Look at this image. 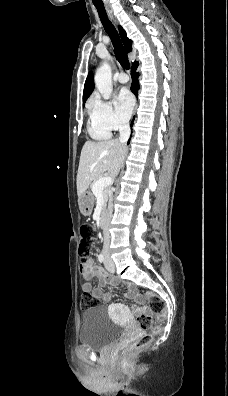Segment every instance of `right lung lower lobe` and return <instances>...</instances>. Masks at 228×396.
I'll return each mask as SVG.
<instances>
[{
  "label": "right lung lower lobe",
  "mask_w": 228,
  "mask_h": 396,
  "mask_svg": "<svg viewBox=\"0 0 228 396\" xmlns=\"http://www.w3.org/2000/svg\"><path fill=\"white\" fill-rule=\"evenodd\" d=\"M138 66V63L135 62V64L132 66L131 69V76H132V85H131V91L137 96L138 90H139V83H138V73H135V70ZM132 125V124H131ZM129 143V142H128Z\"/></svg>",
  "instance_id": "1"
}]
</instances>
